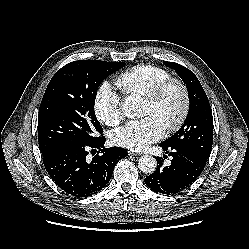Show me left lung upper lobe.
Here are the masks:
<instances>
[{"label":"left lung upper lobe","instance_id":"obj_1","mask_svg":"<svg viewBox=\"0 0 249 249\" xmlns=\"http://www.w3.org/2000/svg\"><path fill=\"white\" fill-rule=\"evenodd\" d=\"M164 64L174 69L185 83L190 107L183 126L162 144L191 149L208 159L213 143V117L207 95L198 78L189 69L175 62Z\"/></svg>","mask_w":249,"mask_h":249}]
</instances>
